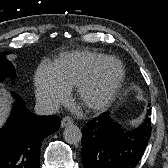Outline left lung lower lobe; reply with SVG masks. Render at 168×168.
Wrapping results in <instances>:
<instances>
[{"label": "left lung lower lobe", "mask_w": 168, "mask_h": 168, "mask_svg": "<svg viewBox=\"0 0 168 168\" xmlns=\"http://www.w3.org/2000/svg\"><path fill=\"white\" fill-rule=\"evenodd\" d=\"M150 114L151 108L142 124L129 132L109 112L90 120L82 129L84 168H135L151 136Z\"/></svg>", "instance_id": "left-lung-lower-lobe-1"}]
</instances>
